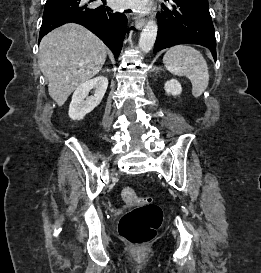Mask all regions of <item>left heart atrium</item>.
<instances>
[{
    "instance_id": "1",
    "label": "left heart atrium",
    "mask_w": 261,
    "mask_h": 273,
    "mask_svg": "<svg viewBox=\"0 0 261 273\" xmlns=\"http://www.w3.org/2000/svg\"><path fill=\"white\" fill-rule=\"evenodd\" d=\"M113 5L117 8L131 7L141 10L145 7L146 0H112Z\"/></svg>"
}]
</instances>
